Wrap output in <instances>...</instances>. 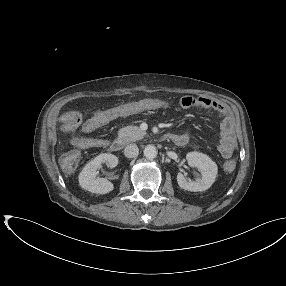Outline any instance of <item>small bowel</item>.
Masks as SVG:
<instances>
[{"label": "small bowel", "mask_w": 286, "mask_h": 286, "mask_svg": "<svg viewBox=\"0 0 286 286\" xmlns=\"http://www.w3.org/2000/svg\"><path fill=\"white\" fill-rule=\"evenodd\" d=\"M179 104L183 109L190 107L209 109L222 117L221 141L218 149L224 158H230L236 146V134L234 121L228 108L225 105L204 96H186L180 99ZM167 107L168 103L164 100L145 99L110 108L108 110L113 112L110 116H104V112L106 110L96 112L83 124L80 115L78 120L72 117V111L62 113L59 120L61 128L64 132H73L81 126L83 131L88 133L119 117L127 116L140 111L163 109ZM177 136L182 137L187 143L188 137L186 135L178 134ZM70 142L73 146L80 149L106 147L109 143L108 139L94 136H72L70 138Z\"/></svg>", "instance_id": "1"}]
</instances>
